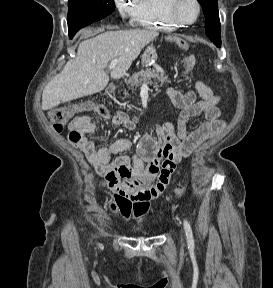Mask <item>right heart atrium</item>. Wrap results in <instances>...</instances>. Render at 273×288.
<instances>
[{
  "mask_svg": "<svg viewBox=\"0 0 273 288\" xmlns=\"http://www.w3.org/2000/svg\"><path fill=\"white\" fill-rule=\"evenodd\" d=\"M138 0H114L115 6L122 18L133 17Z\"/></svg>",
  "mask_w": 273,
  "mask_h": 288,
  "instance_id": "d8ad5b80",
  "label": "right heart atrium"
}]
</instances>
